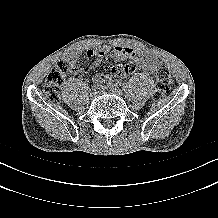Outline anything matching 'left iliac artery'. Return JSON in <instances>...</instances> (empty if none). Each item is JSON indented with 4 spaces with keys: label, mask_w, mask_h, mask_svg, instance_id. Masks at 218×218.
I'll return each mask as SVG.
<instances>
[{
    "label": "left iliac artery",
    "mask_w": 218,
    "mask_h": 218,
    "mask_svg": "<svg viewBox=\"0 0 218 218\" xmlns=\"http://www.w3.org/2000/svg\"><path fill=\"white\" fill-rule=\"evenodd\" d=\"M106 81H108V84L109 85H113V86H115V87H118L119 86V83L118 82H116V81H112L111 79H107Z\"/></svg>",
    "instance_id": "44dca946"
}]
</instances>
